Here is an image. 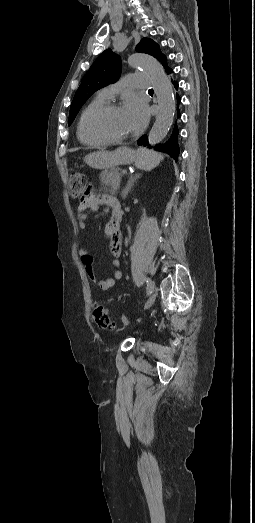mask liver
Segmentation results:
<instances>
[{
    "instance_id": "6515ba94",
    "label": "liver",
    "mask_w": 255,
    "mask_h": 523,
    "mask_svg": "<svg viewBox=\"0 0 255 523\" xmlns=\"http://www.w3.org/2000/svg\"><path fill=\"white\" fill-rule=\"evenodd\" d=\"M97 154H112V152H95V154H88V156H85V162L88 166H91V168H96L97 166Z\"/></svg>"
}]
</instances>
